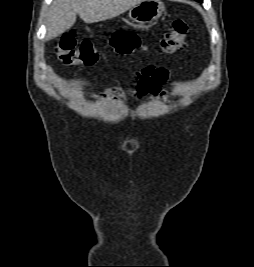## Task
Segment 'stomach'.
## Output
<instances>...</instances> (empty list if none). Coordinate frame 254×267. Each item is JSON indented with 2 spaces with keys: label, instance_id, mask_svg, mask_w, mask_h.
Returning <instances> with one entry per match:
<instances>
[{
  "label": "stomach",
  "instance_id": "obj_1",
  "mask_svg": "<svg viewBox=\"0 0 254 267\" xmlns=\"http://www.w3.org/2000/svg\"><path fill=\"white\" fill-rule=\"evenodd\" d=\"M164 4L160 0H142L129 9V18L138 24L152 23L161 17Z\"/></svg>",
  "mask_w": 254,
  "mask_h": 267
}]
</instances>
